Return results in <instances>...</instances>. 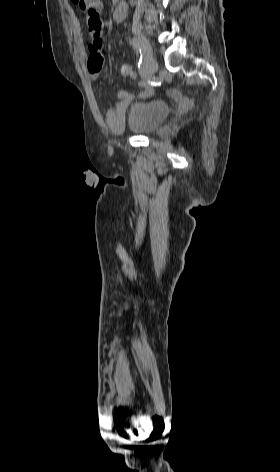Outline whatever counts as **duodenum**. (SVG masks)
<instances>
[{"label":"duodenum","instance_id":"1","mask_svg":"<svg viewBox=\"0 0 280 472\" xmlns=\"http://www.w3.org/2000/svg\"><path fill=\"white\" fill-rule=\"evenodd\" d=\"M126 16H127V8L122 4H119L118 6H116L113 12L114 21L121 22L126 18Z\"/></svg>","mask_w":280,"mask_h":472}]
</instances>
